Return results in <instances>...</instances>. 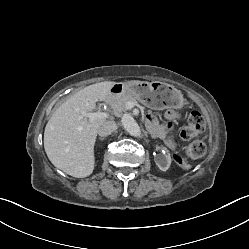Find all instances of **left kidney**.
<instances>
[{
	"label": "left kidney",
	"instance_id": "5707ae66",
	"mask_svg": "<svg viewBox=\"0 0 249 249\" xmlns=\"http://www.w3.org/2000/svg\"><path fill=\"white\" fill-rule=\"evenodd\" d=\"M171 151L169 149H164L162 152H159L154 160L157 165V167L165 172L169 169L171 165Z\"/></svg>",
	"mask_w": 249,
	"mask_h": 249
}]
</instances>
